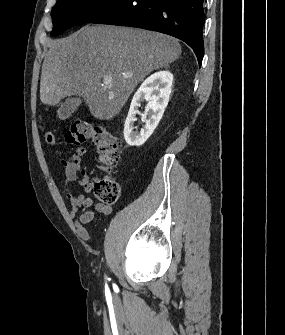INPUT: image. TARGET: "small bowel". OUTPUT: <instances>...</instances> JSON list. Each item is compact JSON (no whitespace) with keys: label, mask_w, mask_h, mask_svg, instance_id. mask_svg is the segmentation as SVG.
I'll return each mask as SVG.
<instances>
[{"label":"small bowel","mask_w":285,"mask_h":335,"mask_svg":"<svg viewBox=\"0 0 285 335\" xmlns=\"http://www.w3.org/2000/svg\"><path fill=\"white\" fill-rule=\"evenodd\" d=\"M64 166L65 188L71 202L70 215L75 219L77 233L83 240L90 238L87 225L94 219V210L103 215H109L112 212L110 205L96 203L95 200L84 194H76L73 191L74 185L79 182L85 191L92 188V181L88 174L87 168L70 161H62Z\"/></svg>","instance_id":"obj_1"}]
</instances>
